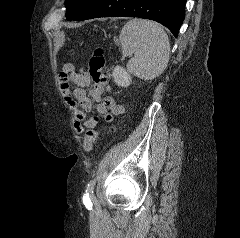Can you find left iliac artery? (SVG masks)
<instances>
[{"label":"left iliac artery","mask_w":240,"mask_h":238,"mask_svg":"<svg viewBox=\"0 0 240 238\" xmlns=\"http://www.w3.org/2000/svg\"><path fill=\"white\" fill-rule=\"evenodd\" d=\"M94 186H95V179L91 180L88 183L85 194L83 196V202L86 205V207H88V208L92 207V202L90 200V195L93 194Z\"/></svg>","instance_id":"obj_1"}]
</instances>
